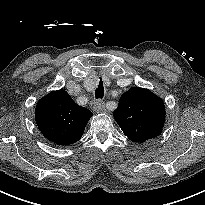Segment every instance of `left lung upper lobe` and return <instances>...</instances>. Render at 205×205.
I'll list each match as a JSON object with an SVG mask.
<instances>
[{"mask_svg":"<svg viewBox=\"0 0 205 205\" xmlns=\"http://www.w3.org/2000/svg\"><path fill=\"white\" fill-rule=\"evenodd\" d=\"M114 118L131 141L142 143L162 132L165 106L151 91L132 87L120 97Z\"/></svg>","mask_w":205,"mask_h":205,"instance_id":"1","label":"left lung upper lobe"}]
</instances>
